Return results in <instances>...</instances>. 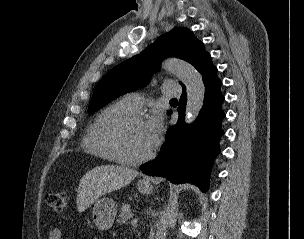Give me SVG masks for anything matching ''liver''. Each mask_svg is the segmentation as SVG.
Masks as SVG:
<instances>
[{
	"instance_id": "obj_1",
	"label": "liver",
	"mask_w": 304,
	"mask_h": 239,
	"mask_svg": "<svg viewBox=\"0 0 304 239\" xmlns=\"http://www.w3.org/2000/svg\"><path fill=\"white\" fill-rule=\"evenodd\" d=\"M138 172L124 166L104 165L88 171L77 190V210L82 213L101 196L131 183Z\"/></svg>"
}]
</instances>
